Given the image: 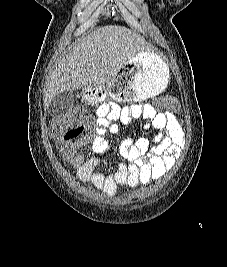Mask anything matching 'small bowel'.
Here are the masks:
<instances>
[{
  "label": "small bowel",
  "mask_w": 227,
  "mask_h": 267,
  "mask_svg": "<svg viewBox=\"0 0 227 267\" xmlns=\"http://www.w3.org/2000/svg\"><path fill=\"white\" fill-rule=\"evenodd\" d=\"M136 120H144L145 128H154L156 133L153 138L129 136L121 143L120 152L132 161L130 164L119 163L115 171L107 173L99 169L97 157L87 158L80 152L90 144L97 155L105 153L109 149L105 136L119 132L117 122L129 124ZM56 145L81 182L112 197L122 185H146L171 171L182 155L185 139L177 118L168 111L157 112L148 104L121 107L102 103L92 126L82 123L69 128Z\"/></svg>",
  "instance_id": "obj_1"
}]
</instances>
